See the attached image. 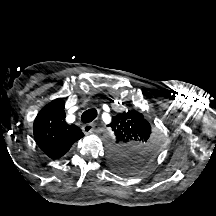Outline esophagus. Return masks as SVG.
<instances>
[{
	"mask_svg": "<svg viewBox=\"0 0 216 216\" xmlns=\"http://www.w3.org/2000/svg\"><path fill=\"white\" fill-rule=\"evenodd\" d=\"M95 129V124L94 123H88V124H85L83 127H82V130L85 134H91L93 133Z\"/></svg>",
	"mask_w": 216,
	"mask_h": 216,
	"instance_id": "obj_1",
	"label": "esophagus"
}]
</instances>
